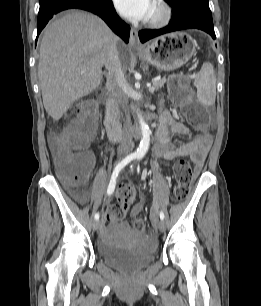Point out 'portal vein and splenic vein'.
Segmentation results:
<instances>
[{
	"instance_id": "18ae733b",
	"label": "portal vein and splenic vein",
	"mask_w": 261,
	"mask_h": 306,
	"mask_svg": "<svg viewBox=\"0 0 261 306\" xmlns=\"http://www.w3.org/2000/svg\"><path fill=\"white\" fill-rule=\"evenodd\" d=\"M148 87H149V91H153V88L151 87L150 84L148 85Z\"/></svg>"
}]
</instances>
